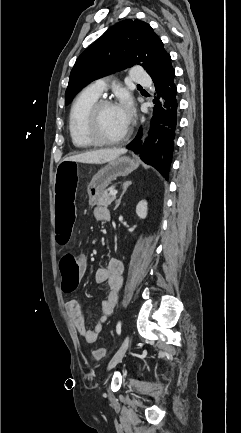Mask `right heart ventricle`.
<instances>
[{
	"mask_svg": "<svg viewBox=\"0 0 241 433\" xmlns=\"http://www.w3.org/2000/svg\"><path fill=\"white\" fill-rule=\"evenodd\" d=\"M98 98L99 96L85 89L72 104L69 114V133L76 148L87 149L95 145L85 132V120L90 108Z\"/></svg>",
	"mask_w": 241,
	"mask_h": 433,
	"instance_id": "right-heart-ventricle-1",
	"label": "right heart ventricle"
}]
</instances>
